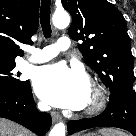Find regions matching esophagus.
Returning <instances> with one entry per match:
<instances>
[{
    "label": "esophagus",
    "instance_id": "esophagus-1",
    "mask_svg": "<svg viewBox=\"0 0 136 136\" xmlns=\"http://www.w3.org/2000/svg\"><path fill=\"white\" fill-rule=\"evenodd\" d=\"M53 122H57L61 119V116L57 112H51Z\"/></svg>",
    "mask_w": 136,
    "mask_h": 136
}]
</instances>
